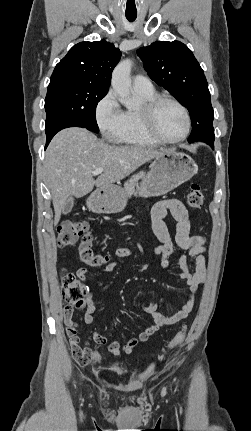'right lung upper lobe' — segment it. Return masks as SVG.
I'll list each match as a JSON object with an SVG mask.
<instances>
[{
	"mask_svg": "<svg viewBox=\"0 0 251 431\" xmlns=\"http://www.w3.org/2000/svg\"><path fill=\"white\" fill-rule=\"evenodd\" d=\"M121 52L105 40L80 42L56 65L51 79L72 78L109 89L111 73Z\"/></svg>",
	"mask_w": 251,
	"mask_h": 431,
	"instance_id": "obj_1",
	"label": "right lung upper lobe"
}]
</instances>
